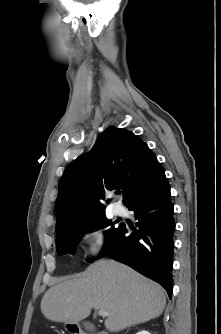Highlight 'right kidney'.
Segmentation results:
<instances>
[{"instance_id": "right-kidney-1", "label": "right kidney", "mask_w": 221, "mask_h": 334, "mask_svg": "<svg viewBox=\"0 0 221 334\" xmlns=\"http://www.w3.org/2000/svg\"><path fill=\"white\" fill-rule=\"evenodd\" d=\"M136 334H150V333L148 331L143 330V331H140V332H138Z\"/></svg>"}]
</instances>
